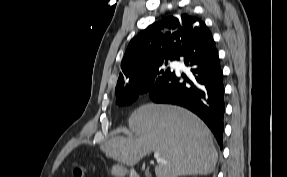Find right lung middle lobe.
Returning a JSON list of instances; mask_svg holds the SVG:
<instances>
[{
  "label": "right lung middle lobe",
  "mask_w": 287,
  "mask_h": 177,
  "mask_svg": "<svg viewBox=\"0 0 287 177\" xmlns=\"http://www.w3.org/2000/svg\"><path fill=\"white\" fill-rule=\"evenodd\" d=\"M167 64L168 61L156 64L137 84L116 87V103L121 106L130 105L137 100L139 94L148 93L154 85H157L172 74L170 68H164Z\"/></svg>",
  "instance_id": "obj_1"
}]
</instances>
